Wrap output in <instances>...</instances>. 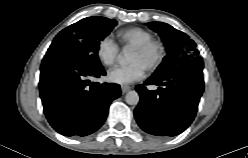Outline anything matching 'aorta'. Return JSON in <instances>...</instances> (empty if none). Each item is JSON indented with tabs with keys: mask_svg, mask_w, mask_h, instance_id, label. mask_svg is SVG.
<instances>
[{
	"mask_svg": "<svg viewBox=\"0 0 248 158\" xmlns=\"http://www.w3.org/2000/svg\"><path fill=\"white\" fill-rule=\"evenodd\" d=\"M120 63L121 64H124L125 63V59L122 58L120 60ZM139 94L136 92V91H129L126 96H125V101L127 104L129 105H137L138 102H139Z\"/></svg>",
	"mask_w": 248,
	"mask_h": 158,
	"instance_id": "1",
	"label": "aorta"
}]
</instances>
